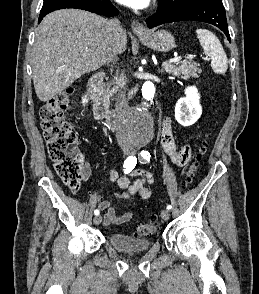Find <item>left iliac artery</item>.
<instances>
[{"label": "left iliac artery", "instance_id": "obj_1", "mask_svg": "<svg viewBox=\"0 0 259 294\" xmlns=\"http://www.w3.org/2000/svg\"><path fill=\"white\" fill-rule=\"evenodd\" d=\"M141 160H146V161H149L150 160V157H151V155H150V153L148 152V151H141ZM172 208V206L171 205H167V209L168 210H170Z\"/></svg>", "mask_w": 259, "mask_h": 294}]
</instances>
